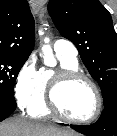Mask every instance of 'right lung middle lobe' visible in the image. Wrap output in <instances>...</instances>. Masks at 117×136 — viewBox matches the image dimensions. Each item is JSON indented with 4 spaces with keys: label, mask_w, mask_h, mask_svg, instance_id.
Here are the masks:
<instances>
[{
    "label": "right lung middle lobe",
    "mask_w": 117,
    "mask_h": 136,
    "mask_svg": "<svg viewBox=\"0 0 117 136\" xmlns=\"http://www.w3.org/2000/svg\"><path fill=\"white\" fill-rule=\"evenodd\" d=\"M28 58L0 55V95L14 98V85Z\"/></svg>",
    "instance_id": "dd1d6c3e"
}]
</instances>
